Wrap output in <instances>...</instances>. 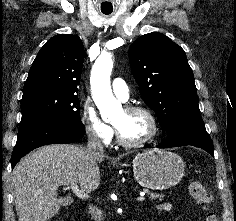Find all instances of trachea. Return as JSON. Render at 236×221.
Returning a JSON list of instances; mask_svg holds the SVG:
<instances>
[{
  "mask_svg": "<svg viewBox=\"0 0 236 221\" xmlns=\"http://www.w3.org/2000/svg\"><path fill=\"white\" fill-rule=\"evenodd\" d=\"M103 13L106 14V15L110 14V12H103Z\"/></svg>",
  "mask_w": 236,
  "mask_h": 221,
  "instance_id": "trachea-1",
  "label": "trachea"
}]
</instances>
